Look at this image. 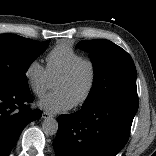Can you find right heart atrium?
Masks as SVG:
<instances>
[{
  "instance_id": "1",
  "label": "right heart atrium",
  "mask_w": 156,
  "mask_h": 156,
  "mask_svg": "<svg viewBox=\"0 0 156 156\" xmlns=\"http://www.w3.org/2000/svg\"><path fill=\"white\" fill-rule=\"evenodd\" d=\"M24 77L34 95L41 97L47 91L50 79L46 68L38 60L34 59L26 66Z\"/></svg>"
}]
</instances>
